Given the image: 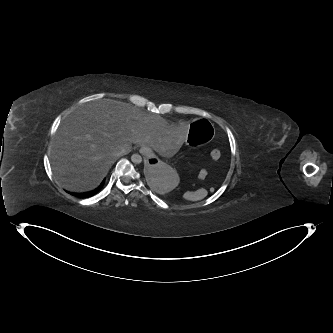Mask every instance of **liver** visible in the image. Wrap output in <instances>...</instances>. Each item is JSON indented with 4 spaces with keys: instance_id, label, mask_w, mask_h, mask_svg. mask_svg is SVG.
Segmentation results:
<instances>
[{
    "instance_id": "1",
    "label": "liver",
    "mask_w": 333,
    "mask_h": 333,
    "mask_svg": "<svg viewBox=\"0 0 333 333\" xmlns=\"http://www.w3.org/2000/svg\"><path fill=\"white\" fill-rule=\"evenodd\" d=\"M188 131L180 118L167 122L125 102L90 101L59 127L49 150L52 170L66 190L90 191L100 185L119 155L131 151L132 144L148 145L171 157Z\"/></svg>"
}]
</instances>
